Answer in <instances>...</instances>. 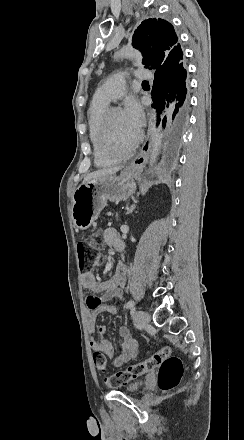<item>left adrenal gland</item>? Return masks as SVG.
Segmentation results:
<instances>
[{
    "label": "left adrenal gland",
    "instance_id": "left-adrenal-gland-1",
    "mask_svg": "<svg viewBox=\"0 0 244 440\" xmlns=\"http://www.w3.org/2000/svg\"><path fill=\"white\" fill-rule=\"evenodd\" d=\"M136 208V204H133V206H131V208H129L127 214H131V212H133V210H135Z\"/></svg>",
    "mask_w": 244,
    "mask_h": 440
}]
</instances>
